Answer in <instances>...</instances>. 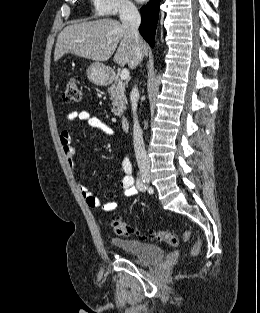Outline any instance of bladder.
<instances>
[{
  "label": "bladder",
  "mask_w": 260,
  "mask_h": 313,
  "mask_svg": "<svg viewBox=\"0 0 260 313\" xmlns=\"http://www.w3.org/2000/svg\"><path fill=\"white\" fill-rule=\"evenodd\" d=\"M111 244L132 255L142 264H151L165 258L163 248L143 242L141 240H130L121 238H111Z\"/></svg>",
  "instance_id": "obj_1"
}]
</instances>
